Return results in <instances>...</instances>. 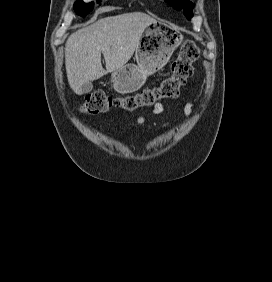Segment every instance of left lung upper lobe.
<instances>
[{"instance_id":"5c2ea615","label":"left lung upper lobe","mask_w":272,"mask_h":282,"mask_svg":"<svg viewBox=\"0 0 272 282\" xmlns=\"http://www.w3.org/2000/svg\"><path fill=\"white\" fill-rule=\"evenodd\" d=\"M167 2L177 10L183 9L184 14L188 19L193 16L192 9L194 4L189 0H167Z\"/></svg>"}]
</instances>
